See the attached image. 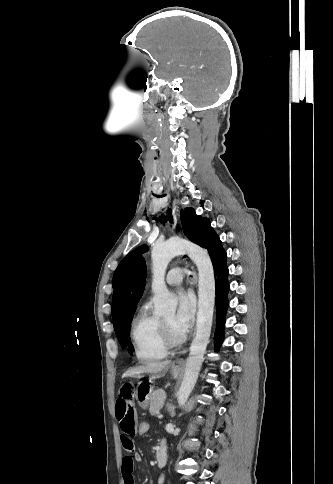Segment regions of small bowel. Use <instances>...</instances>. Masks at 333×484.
Here are the masks:
<instances>
[{
    "mask_svg": "<svg viewBox=\"0 0 333 484\" xmlns=\"http://www.w3.org/2000/svg\"><path fill=\"white\" fill-rule=\"evenodd\" d=\"M116 419L121 429V443L126 455L122 459V475L124 484H135L134 463L141 460V456L135 452L134 437L138 423L137 410L135 407V391L131 383H124L118 391L115 403ZM162 482V478L159 479Z\"/></svg>",
    "mask_w": 333,
    "mask_h": 484,
    "instance_id": "c3829d8e",
    "label": "small bowel"
}]
</instances>
